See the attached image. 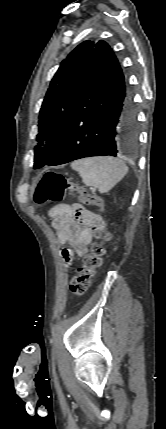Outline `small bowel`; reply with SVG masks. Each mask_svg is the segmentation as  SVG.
<instances>
[{"label":"small bowel","instance_id":"c3829d8e","mask_svg":"<svg viewBox=\"0 0 166 429\" xmlns=\"http://www.w3.org/2000/svg\"><path fill=\"white\" fill-rule=\"evenodd\" d=\"M57 241L69 245L61 256L69 265L75 256L84 257L94 234L105 229L103 218L79 204H58L49 210Z\"/></svg>","mask_w":166,"mask_h":429}]
</instances>
